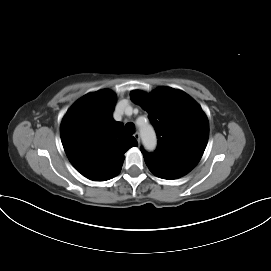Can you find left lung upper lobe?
<instances>
[{
  "label": "left lung upper lobe",
  "instance_id": "1",
  "mask_svg": "<svg viewBox=\"0 0 271 271\" xmlns=\"http://www.w3.org/2000/svg\"><path fill=\"white\" fill-rule=\"evenodd\" d=\"M131 100L148 112L158 137L154 153L141 149L144 159L191 171L203 155L209 134L208 119L196 101L169 87H160L151 94L134 90Z\"/></svg>",
  "mask_w": 271,
  "mask_h": 271
}]
</instances>
